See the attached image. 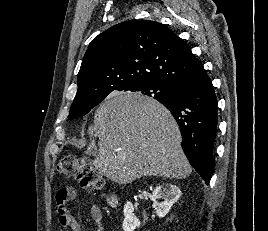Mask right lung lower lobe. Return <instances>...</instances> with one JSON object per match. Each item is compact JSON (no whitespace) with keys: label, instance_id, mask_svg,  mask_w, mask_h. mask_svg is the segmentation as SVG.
<instances>
[{"label":"right lung lower lobe","instance_id":"98d812e1","mask_svg":"<svg viewBox=\"0 0 268 231\" xmlns=\"http://www.w3.org/2000/svg\"><path fill=\"white\" fill-rule=\"evenodd\" d=\"M161 102L177 121L182 148L192 167L206 184L214 168L213 149L217 131V98L210 77L204 70L199 76L171 87Z\"/></svg>","mask_w":268,"mask_h":231}]
</instances>
